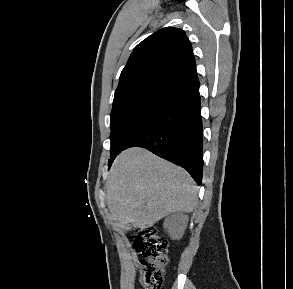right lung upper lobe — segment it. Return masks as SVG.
Here are the masks:
<instances>
[{"label":"right lung upper lobe","instance_id":"obj_1","mask_svg":"<svg viewBox=\"0 0 293 289\" xmlns=\"http://www.w3.org/2000/svg\"><path fill=\"white\" fill-rule=\"evenodd\" d=\"M199 94L192 46L181 29L163 28L136 46L121 72L113 104L158 96L175 105Z\"/></svg>","mask_w":293,"mask_h":289}]
</instances>
